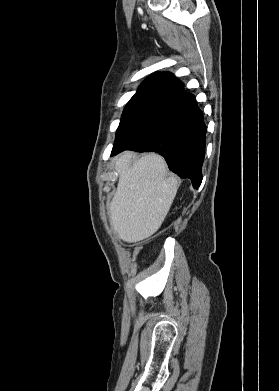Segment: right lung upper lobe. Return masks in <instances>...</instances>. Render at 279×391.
<instances>
[{"label": "right lung upper lobe", "mask_w": 279, "mask_h": 391, "mask_svg": "<svg viewBox=\"0 0 279 391\" xmlns=\"http://www.w3.org/2000/svg\"><path fill=\"white\" fill-rule=\"evenodd\" d=\"M186 94L183 83L173 74L158 72L142 82L125 110L145 107L162 109Z\"/></svg>", "instance_id": "right-lung-upper-lobe-1"}]
</instances>
